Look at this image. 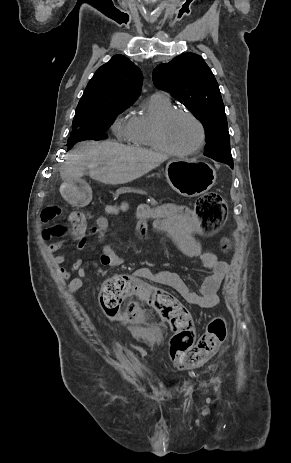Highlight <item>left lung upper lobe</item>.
I'll list each match as a JSON object with an SVG mask.
<instances>
[{"label": "left lung upper lobe", "mask_w": 291, "mask_h": 463, "mask_svg": "<svg viewBox=\"0 0 291 463\" xmlns=\"http://www.w3.org/2000/svg\"><path fill=\"white\" fill-rule=\"evenodd\" d=\"M153 82L184 104L205 127L204 155L214 160H232L225 108L218 83L203 58L183 53L158 65Z\"/></svg>", "instance_id": "left-lung-upper-lobe-1"}]
</instances>
